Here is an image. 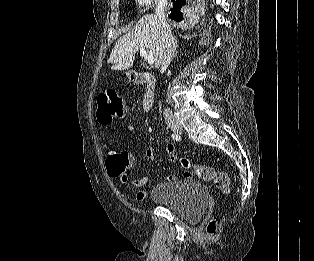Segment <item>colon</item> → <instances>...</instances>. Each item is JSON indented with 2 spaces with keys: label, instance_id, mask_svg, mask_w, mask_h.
Returning <instances> with one entry per match:
<instances>
[{
  "label": "colon",
  "instance_id": "colon-1",
  "mask_svg": "<svg viewBox=\"0 0 314 261\" xmlns=\"http://www.w3.org/2000/svg\"><path fill=\"white\" fill-rule=\"evenodd\" d=\"M97 103V118L102 125H109L115 121L122 120L127 114L124 100L113 89L101 91L97 97ZM181 164L185 167L183 174L185 178L197 176L205 181L212 182L222 190H226L229 185V176L225 171L215 170L205 165L193 164L187 159H182ZM129 166V157L126 152L112 155L107 162V170L113 177L124 176ZM216 228V221L211 220L206 225V232L213 234L216 232Z\"/></svg>",
  "mask_w": 314,
  "mask_h": 261
}]
</instances>
